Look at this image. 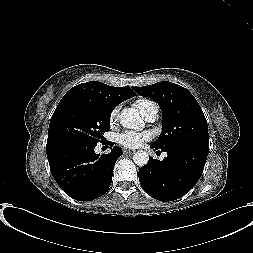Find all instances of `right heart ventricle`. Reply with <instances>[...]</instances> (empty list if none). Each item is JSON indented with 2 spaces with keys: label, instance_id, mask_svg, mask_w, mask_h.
Segmentation results:
<instances>
[{
  "label": "right heart ventricle",
  "instance_id": "right-heart-ventricle-1",
  "mask_svg": "<svg viewBox=\"0 0 253 253\" xmlns=\"http://www.w3.org/2000/svg\"><path fill=\"white\" fill-rule=\"evenodd\" d=\"M149 102V100H139L136 103V106L138 108V110L141 112V114L144 111V108L146 107V104Z\"/></svg>",
  "mask_w": 253,
  "mask_h": 253
}]
</instances>
